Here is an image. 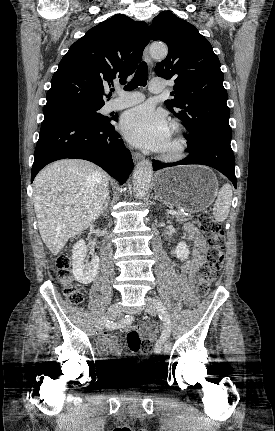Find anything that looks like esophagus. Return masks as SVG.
Instances as JSON below:
<instances>
[{"instance_id": "1", "label": "esophagus", "mask_w": 275, "mask_h": 431, "mask_svg": "<svg viewBox=\"0 0 275 431\" xmlns=\"http://www.w3.org/2000/svg\"><path fill=\"white\" fill-rule=\"evenodd\" d=\"M144 57L147 61V63L152 66L153 65V59L150 55V51H149V45H147L144 49ZM142 158V155L138 152L133 153V160L135 162H137L138 160H140Z\"/></svg>"}]
</instances>
